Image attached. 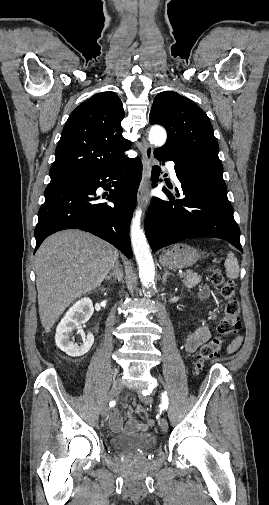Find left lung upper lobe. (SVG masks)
<instances>
[{
  "label": "left lung upper lobe",
  "instance_id": "1",
  "mask_svg": "<svg viewBox=\"0 0 269 505\" xmlns=\"http://www.w3.org/2000/svg\"><path fill=\"white\" fill-rule=\"evenodd\" d=\"M150 123L164 126L168 133L166 144L154 153L192 155L223 168L210 120L190 99L173 91L159 93L151 108Z\"/></svg>",
  "mask_w": 269,
  "mask_h": 505
}]
</instances>
